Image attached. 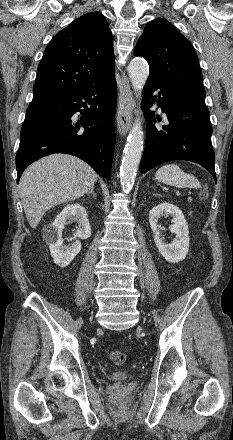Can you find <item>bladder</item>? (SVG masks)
Here are the masks:
<instances>
[{"instance_id": "1", "label": "bladder", "mask_w": 233, "mask_h": 440, "mask_svg": "<svg viewBox=\"0 0 233 440\" xmlns=\"http://www.w3.org/2000/svg\"><path fill=\"white\" fill-rule=\"evenodd\" d=\"M129 377V372L126 370H117L111 374L113 380H125Z\"/></svg>"}]
</instances>
